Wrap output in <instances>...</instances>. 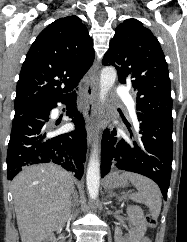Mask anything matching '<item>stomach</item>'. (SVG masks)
<instances>
[{
	"mask_svg": "<svg viewBox=\"0 0 187 242\" xmlns=\"http://www.w3.org/2000/svg\"><path fill=\"white\" fill-rule=\"evenodd\" d=\"M128 184V179L119 172L111 173L105 180V187L107 189L124 188Z\"/></svg>",
	"mask_w": 187,
	"mask_h": 242,
	"instance_id": "obj_1",
	"label": "stomach"
}]
</instances>
